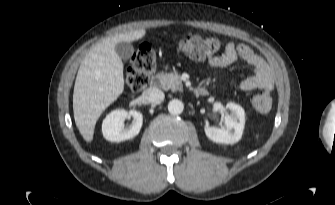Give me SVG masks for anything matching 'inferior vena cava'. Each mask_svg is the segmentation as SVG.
<instances>
[{
    "instance_id": "inferior-vena-cava-1",
    "label": "inferior vena cava",
    "mask_w": 335,
    "mask_h": 205,
    "mask_svg": "<svg viewBox=\"0 0 335 205\" xmlns=\"http://www.w3.org/2000/svg\"><path fill=\"white\" fill-rule=\"evenodd\" d=\"M144 98L150 104H160L164 98V93L158 88H149L143 93Z\"/></svg>"
}]
</instances>
